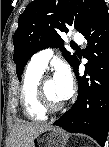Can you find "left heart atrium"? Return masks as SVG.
<instances>
[{
	"label": "left heart atrium",
	"mask_w": 109,
	"mask_h": 147,
	"mask_svg": "<svg viewBox=\"0 0 109 147\" xmlns=\"http://www.w3.org/2000/svg\"><path fill=\"white\" fill-rule=\"evenodd\" d=\"M54 80L62 100L68 99L74 91V79L70 68L65 64L58 66Z\"/></svg>",
	"instance_id": "left-heart-atrium-1"
}]
</instances>
